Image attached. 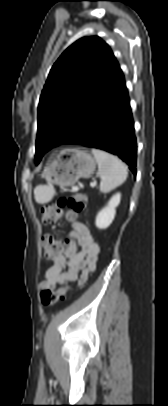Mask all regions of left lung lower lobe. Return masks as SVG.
I'll use <instances>...</instances> for the list:
<instances>
[{
	"label": "left lung lower lobe",
	"mask_w": 168,
	"mask_h": 406,
	"mask_svg": "<svg viewBox=\"0 0 168 406\" xmlns=\"http://www.w3.org/2000/svg\"><path fill=\"white\" fill-rule=\"evenodd\" d=\"M63 144L83 145L117 155L136 175L137 144L121 69L95 103L81 129Z\"/></svg>",
	"instance_id": "1"
}]
</instances>
